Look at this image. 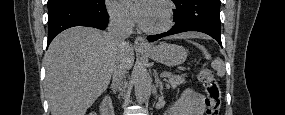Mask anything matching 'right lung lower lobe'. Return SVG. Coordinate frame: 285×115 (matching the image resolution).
Here are the masks:
<instances>
[{
    "label": "right lung lower lobe",
    "instance_id": "98d812e1",
    "mask_svg": "<svg viewBox=\"0 0 285 115\" xmlns=\"http://www.w3.org/2000/svg\"><path fill=\"white\" fill-rule=\"evenodd\" d=\"M108 23L106 8L68 4L48 12L47 45L63 30L73 26H89L104 30Z\"/></svg>",
    "mask_w": 285,
    "mask_h": 115
}]
</instances>
